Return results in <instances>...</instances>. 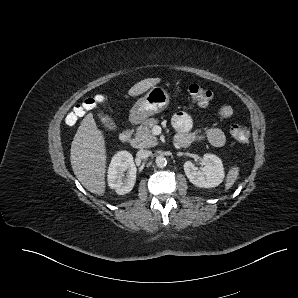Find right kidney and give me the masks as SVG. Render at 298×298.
Returning a JSON list of instances; mask_svg holds the SVG:
<instances>
[{
    "instance_id": "ca27d5eb",
    "label": "right kidney",
    "mask_w": 298,
    "mask_h": 298,
    "mask_svg": "<svg viewBox=\"0 0 298 298\" xmlns=\"http://www.w3.org/2000/svg\"><path fill=\"white\" fill-rule=\"evenodd\" d=\"M126 171L127 177L121 178L120 174ZM107 184L117 194H126L131 191L136 180V167L133 156L129 151H116L107 168Z\"/></svg>"
}]
</instances>
